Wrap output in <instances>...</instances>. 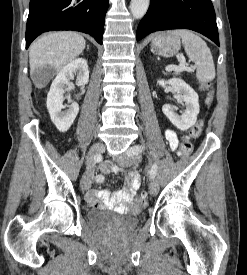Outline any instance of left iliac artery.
<instances>
[{
    "instance_id": "obj_1",
    "label": "left iliac artery",
    "mask_w": 247,
    "mask_h": 275,
    "mask_svg": "<svg viewBox=\"0 0 247 275\" xmlns=\"http://www.w3.org/2000/svg\"><path fill=\"white\" fill-rule=\"evenodd\" d=\"M142 150H143V147H142V146H139V145L136 146V148H135V151H136V152H139V153H141ZM157 169H158L157 165H156V164H153L152 167H151V169H150V178H151V179L155 178V176H156V174H157Z\"/></svg>"
}]
</instances>
